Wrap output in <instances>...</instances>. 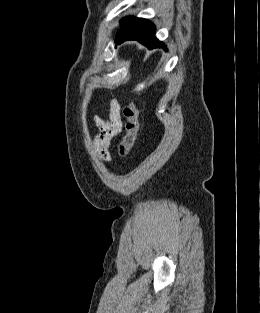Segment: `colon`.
<instances>
[{
  "instance_id": "5ec220e1",
  "label": "colon",
  "mask_w": 260,
  "mask_h": 313,
  "mask_svg": "<svg viewBox=\"0 0 260 313\" xmlns=\"http://www.w3.org/2000/svg\"><path fill=\"white\" fill-rule=\"evenodd\" d=\"M124 119V134L119 141L118 151L122 156L127 155L135 145L140 133L139 109L135 100L130 99L122 110Z\"/></svg>"
}]
</instances>
